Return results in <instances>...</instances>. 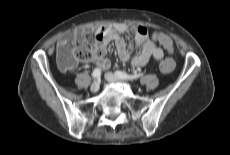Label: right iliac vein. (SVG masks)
I'll return each mask as SVG.
<instances>
[{
  "label": "right iliac vein",
  "mask_w": 230,
  "mask_h": 155,
  "mask_svg": "<svg viewBox=\"0 0 230 155\" xmlns=\"http://www.w3.org/2000/svg\"><path fill=\"white\" fill-rule=\"evenodd\" d=\"M99 82L95 81L94 83H92L90 90L93 93H96L99 90Z\"/></svg>",
  "instance_id": "1"
}]
</instances>
